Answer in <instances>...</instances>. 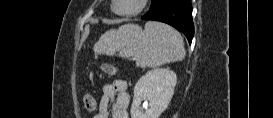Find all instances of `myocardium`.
Returning <instances> with one entry per match:
<instances>
[{"mask_svg": "<svg viewBox=\"0 0 273 118\" xmlns=\"http://www.w3.org/2000/svg\"><path fill=\"white\" fill-rule=\"evenodd\" d=\"M117 2H118V0H113L112 5H111V9L116 15H119V16H135V15L141 13L144 10V8L146 6V3L148 1L147 0H139V4H138L137 8L134 9V10H131V11H118L117 8H116Z\"/></svg>", "mask_w": 273, "mask_h": 118, "instance_id": "obj_1", "label": "myocardium"}]
</instances>
